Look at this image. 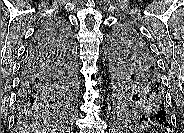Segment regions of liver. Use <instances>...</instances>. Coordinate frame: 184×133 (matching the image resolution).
<instances>
[{
  "label": "liver",
  "instance_id": "1",
  "mask_svg": "<svg viewBox=\"0 0 184 133\" xmlns=\"http://www.w3.org/2000/svg\"><path fill=\"white\" fill-rule=\"evenodd\" d=\"M23 131H28L29 133H58L59 130L54 128L47 121H40L31 124L28 128Z\"/></svg>",
  "mask_w": 184,
  "mask_h": 133
}]
</instances>
